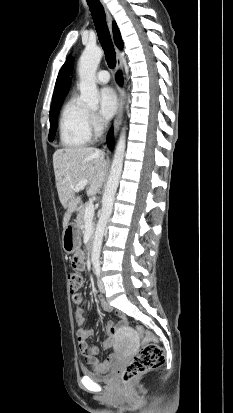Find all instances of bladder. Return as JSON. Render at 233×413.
<instances>
[{"instance_id": "bladder-1", "label": "bladder", "mask_w": 233, "mask_h": 413, "mask_svg": "<svg viewBox=\"0 0 233 413\" xmlns=\"http://www.w3.org/2000/svg\"><path fill=\"white\" fill-rule=\"evenodd\" d=\"M83 376L97 381V382H109L113 378V373L110 370L106 371H90V370H82Z\"/></svg>"}]
</instances>
